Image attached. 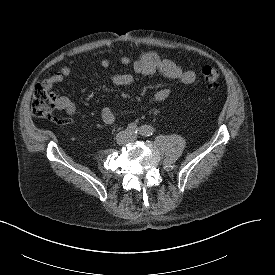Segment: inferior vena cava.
Here are the masks:
<instances>
[{"mask_svg":"<svg viewBox=\"0 0 275 275\" xmlns=\"http://www.w3.org/2000/svg\"><path fill=\"white\" fill-rule=\"evenodd\" d=\"M123 135H125L124 132L119 133V135L117 136V141L118 142L121 141V138L123 137Z\"/></svg>","mask_w":275,"mask_h":275,"instance_id":"1","label":"inferior vena cava"}]
</instances>
